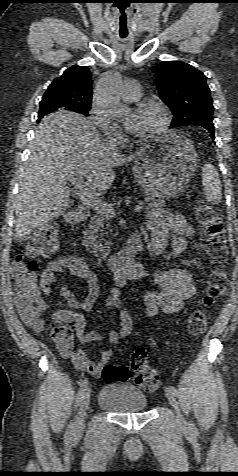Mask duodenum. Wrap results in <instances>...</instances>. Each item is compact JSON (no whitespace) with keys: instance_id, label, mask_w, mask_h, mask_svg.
Masks as SVG:
<instances>
[{"instance_id":"1","label":"duodenum","mask_w":238,"mask_h":476,"mask_svg":"<svg viewBox=\"0 0 238 476\" xmlns=\"http://www.w3.org/2000/svg\"><path fill=\"white\" fill-rule=\"evenodd\" d=\"M89 216L90 212L87 209H80L69 216V221L71 223H82ZM143 243V234L141 232L133 233L118 253L106 259L108 270L114 273V275L135 271L136 264L133 262V257L142 248Z\"/></svg>"}]
</instances>
